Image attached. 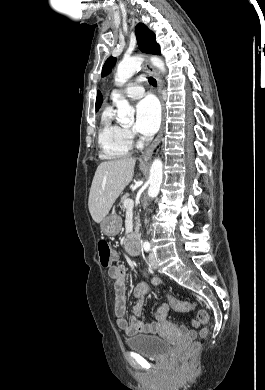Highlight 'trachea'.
I'll use <instances>...</instances> for the list:
<instances>
[{
	"label": "trachea",
	"mask_w": 265,
	"mask_h": 390,
	"mask_svg": "<svg viewBox=\"0 0 265 390\" xmlns=\"http://www.w3.org/2000/svg\"><path fill=\"white\" fill-rule=\"evenodd\" d=\"M148 80H149V83L152 86H157V82H156V80L153 77H149Z\"/></svg>",
	"instance_id": "trachea-1"
}]
</instances>
